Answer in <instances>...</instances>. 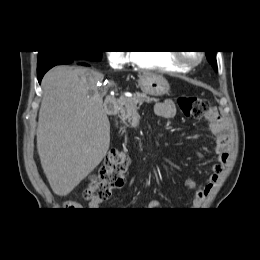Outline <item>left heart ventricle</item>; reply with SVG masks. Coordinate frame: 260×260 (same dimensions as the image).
I'll list each match as a JSON object with an SVG mask.
<instances>
[{
    "mask_svg": "<svg viewBox=\"0 0 260 260\" xmlns=\"http://www.w3.org/2000/svg\"><path fill=\"white\" fill-rule=\"evenodd\" d=\"M188 55H194L193 53H189Z\"/></svg>",
    "mask_w": 260,
    "mask_h": 260,
    "instance_id": "obj_1",
    "label": "left heart ventricle"
}]
</instances>
